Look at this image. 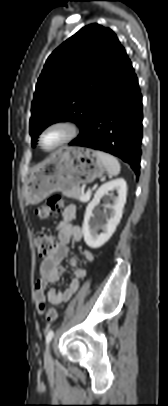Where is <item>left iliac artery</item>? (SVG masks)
<instances>
[{
    "instance_id": "left-iliac-artery-1",
    "label": "left iliac artery",
    "mask_w": 168,
    "mask_h": 406,
    "mask_svg": "<svg viewBox=\"0 0 168 406\" xmlns=\"http://www.w3.org/2000/svg\"><path fill=\"white\" fill-rule=\"evenodd\" d=\"M53 336H54V332L52 330H50L46 335V344H49V342L52 340Z\"/></svg>"
}]
</instances>
